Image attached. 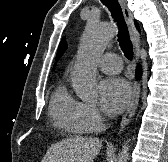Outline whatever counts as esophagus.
I'll list each match as a JSON object with an SVG mask.
<instances>
[{
	"label": "esophagus",
	"mask_w": 168,
	"mask_h": 162,
	"mask_svg": "<svg viewBox=\"0 0 168 162\" xmlns=\"http://www.w3.org/2000/svg\"><path fill=\"white\" fill-rule=\"evenodd\" d=\"M118 2L122 8L124 18H125L126 23L128 25L130 37H131V40H132L134 47H135V59L138 60L139 55H140V45H139L140 34L135 28L132 14L127 7L126 0H118ZM140 91H141L140 82L135 81V83L133 85V94H132L131 103L121 119V129L124 128L130 122L131 118L135 114V111H136V108H137L138 102H139Z\"/></svg>",
	"instance_id": "1"
}]
</instances>
